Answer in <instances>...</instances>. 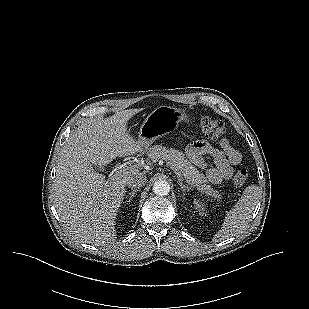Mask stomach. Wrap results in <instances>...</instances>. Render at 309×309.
Returning <instances> with one entry per match:
<instances>
[{"label":"stomach","mask_w":309,"mask_h":309,"mask_svg":"<svg viewBox=\"0 0 309 309\" xmlns=\"http://www.w3.org/2000/svg\"><path fill=\"white\" fill-rule=\"evenodd\" d=\"M181 122H189L185 111L170 106L157 107L143 121L137 141L147 149L156 139L177 129Z\"/></svg>","instance_id":"obj_1"}]
</instances>
